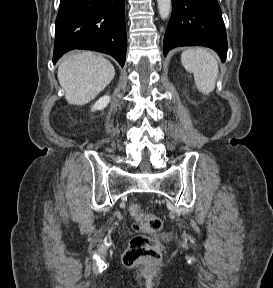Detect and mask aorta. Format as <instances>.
I'll return each instance as SVG.
<instances>
[{"label":"aorta","instance_id":"aorta-1","mask_svg":"<svg viewBox=\"0 0 273 288\" xmlns=\"http://www.w3.org/2000/svg\"><path fill=\"white\" fill-rule=\"evenodd\" d=\"M160 17L165 20L171 14L172 4L171 0H157Z\"/></svg>","mask_w":273,"mask_h":288}]
</instances>
